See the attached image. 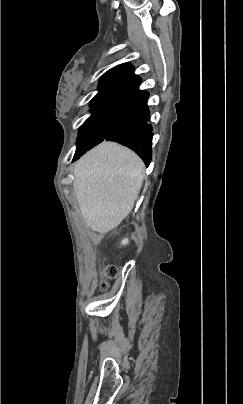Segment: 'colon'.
Listing matches in <instances>:
<instances>
[{
	"instance_id": "obj_1",
	"label": "colon",
	"mask_w": 243,
	"mask_h": 404,
	"mask_svg": "<svg viewBox=\"0 0 243 404\" xmlns=\"http://www.w3.org/2000/svg\"><path fill=\"white\" fill-rule=\"evenodd\" d=\"M118 275V268L115 265H107L103 271H102V276L104 279H114ZM108 287V284L105 280H103L100 284L101 290H106Z\"/></svg>"
}]
</instances>
